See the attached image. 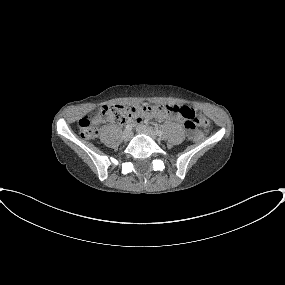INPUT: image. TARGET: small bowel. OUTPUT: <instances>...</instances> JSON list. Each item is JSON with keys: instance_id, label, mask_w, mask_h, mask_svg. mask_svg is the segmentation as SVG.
I'll return each instance as SVG.
<instances>
[{"instance_id": "small-bowel-1", "label": "small bowel", "mask_w": 285, "mask_h": 285, "mask_svg": "<svg viewBox=\"0 0 285 285\" xmlns=\"http://www.w3.org/2000/svg\"><path fill=\"white\" fill-rule=\"evenodd\" d=\"M174 106V105H173ZM188 109V108H187ZM189 111H192L188 109ZM156 117L159 119H170L179 123H184L186 120V115L182 110L179 111H170L169 109H165L163 112L157 113ZM132 123L139 122L140 119H132L130 120Z\"/></svg>"}]
</instances>
